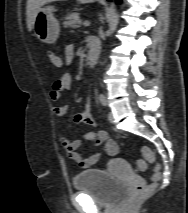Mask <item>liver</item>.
Returning a JSON list of instances; mask_svg holds the SVG:
<instances>
[{
    "label": "liver",
    "mask_w": 188,
    "mask_h": 213,
    "mask_svg": "<svg viewBox=\"0 0 188 213\" xmlns=\"http://www.w3.org/2000/svg\"><path fill=\"white\" fill-rule=\"evenodd\" d=\"M50 1L53 0H27L26 15H27V28L29 31H32L33 29L35 17L39 8Z\"/></svg>",
    "instance_id": "1"
}]
</instances>
